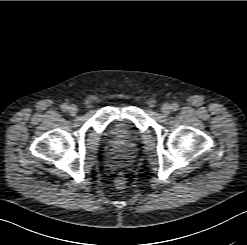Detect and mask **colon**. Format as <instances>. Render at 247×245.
Here are the masks:
<instances>
[{
  "label": "colon",
  "mask_w": 247,
  "mask_h": 245,
  "mask_svg": "<svg viewBox=\"0 0 247 245\" xmlns=\"http://www.w3.org/2000/svg\"><path fill=\"white\" fill-rule=\"evenodd\" d=\"M115 184L117 188L124 189L126 187V179L122 173H119L116 177Z\"/></svg>",
  "instance_id": "5ec220e1"
}]
</instances>
